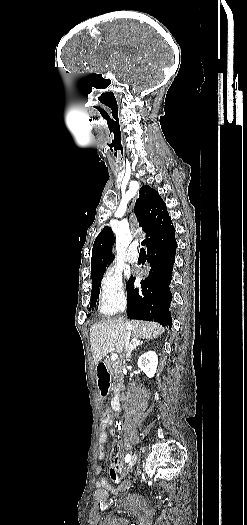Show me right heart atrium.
Listing matches in <instances>:
<instances>
[{"mask_svg":"<svg viewBox=\"0 0 247 525\" xmlns=\"http://www.w3.org/2000/svg\"><path fill=\"white\" fill-rule=\"evenodd\" d=\"M126 305V294L121 273L113 266L107 267L98 288V310L103 315H113Z\"/></svg>","mask_w":247,"mask_h":525,"instance_id":"d8ad5b80","label":"right heart atrium"}]
</instances>
